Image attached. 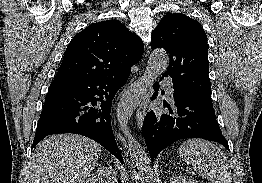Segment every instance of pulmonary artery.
<instances>
[{"label": "pulmonary artery", "instance_id": "obj_1", "mask_svg": "<svg viewBox=\"0 0 262 183\" xmlns=\"http://www.w3.org/2000/svg\"><path fill=\"white\" fill-rule=\"evenodd\" d=\"M163 84L165 85L169 98L173 99V93H174L173 83L169 79H164Z\"/></svg>", "mask_w": 262, "mask_h": 183}]
</instances>
